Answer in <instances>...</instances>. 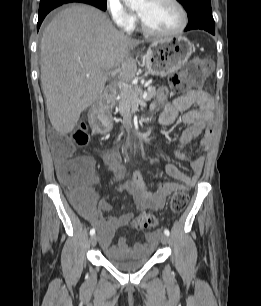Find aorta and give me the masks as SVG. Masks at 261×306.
Returning a JSON list of instances; mask_svg holds the SVG:
<instances>
[{
  "label": "aorta",
  "instance_id": "762f6f07",
  "mask_svg": "<svg viewBox=\"0 0 261 306\" xmlns=\"http://www.w3.org/2000/svg\"><path fill=\"white\" fill-rule=\"evenodd\" d=\"M126 3H129L131 6H138L143 0H124Z\"/></svg>",
  "mask_w": 261,
  "mask_h": 306
}]
</instances>
